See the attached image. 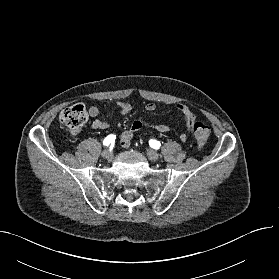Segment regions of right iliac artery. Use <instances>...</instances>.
<instances>
[{"instance_id": "1", "label": "right iliac artery", "mask_w": 279, "mask_h": 279, "mask_svg": "<svg viewBox=\"0 0 279 279\" xmlns=\"http://www.w3.org/2000/svg\"><path fill=\"white\" fill-rule=\"evenodd\" d=\"M115 139H116V136L111 134L104 139L103 145L104 146H109L110 144H114Z\"/></svg>"}]
</instances>
